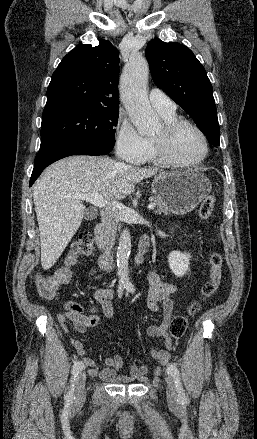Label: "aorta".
<instances>
[{"instance_id": "aorta-1", "label": "aorta", "mask_w": 257, "mask_h": 439, "mask_svg": "<svg viewBox=\"0 0 257 439\" xmlns=\"http://www.w3.org/2000/svg\"><path fill=\"white\" fill-rule=\"evenodd\" d=\"M149 67L139 54H133L127 63L120 81V94L124 106L138 133L155 132L160 126L156 112L151 108L147 96ZM131 252V236L128 229L121 232L117 248V274L119 282L129 285L128 262Z\"/></svg>"}]
</instances>
